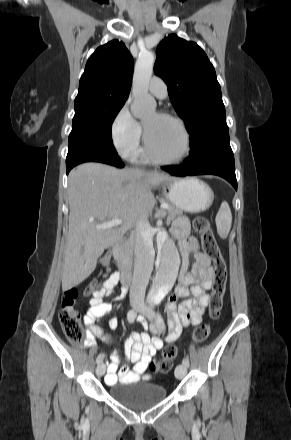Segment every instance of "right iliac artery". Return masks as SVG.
I'll return each instance as SVG.
<instances>
[{
  "instance_id": "obj_1",
  "label": "right iliac artery",
  "mask_w": 291,
  "mask_h": 440,
  "mask_svg": "<svg viewBox=\"0 0 291 440\" xmlns=\"http://www.w3.org/2000/svg\"><path fill=\"white\" fill-rule=\"evenodd\" d=\"M136 316H137L136 311H135V310H130V311L128 312V314H127V320H128V322H130V323L134 322ZM103 359H104V354H103V353H100V354L97 356L96 363H98V364L101 363V362L103 361Z\"/></svg>"
}]
</instances>
